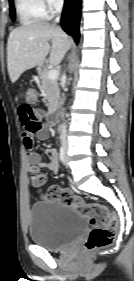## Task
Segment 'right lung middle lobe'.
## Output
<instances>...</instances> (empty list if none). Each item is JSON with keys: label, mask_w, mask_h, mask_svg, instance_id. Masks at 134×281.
Listing matches in <instances>:
<instances>
[{"label": "right lung middle lobe", "mask_w": 134, "mask_h": 281, "mask_svg": "<svg viewBox=\"0 0 134 281\" xmlns=\"http://www.w3.org/2000/svg\"><path fill=\"white\" fill-rule=\"evenodd\" d=\"M9 5H10V12H11V19L12 21L15 20V9L13 5V0H9Z\"/></svg>", "instance_id": "obj_1"}]
</instances>
